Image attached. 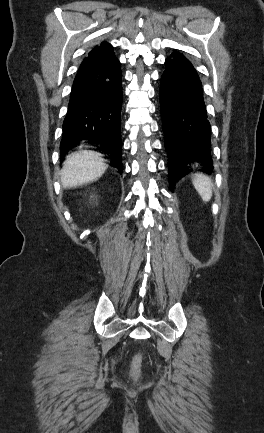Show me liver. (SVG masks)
Wrapping results in <instances>:
<instances>
[{"mask_svg":"<svg viewBox=\"0 0 264 433\" xmlns=\"http://www.w3.org/2000/svg\"><path fill=\"white\" fill-rule=\"evenodd\" d=\"M108 165L104 163L101 154L82 150L67 156L61 170L63 188H74L100 178Z\"/></svg>","mask_w":264,"mask_h":433,"instance_id":"1","label":"liver"}]
</instances>
